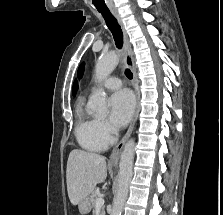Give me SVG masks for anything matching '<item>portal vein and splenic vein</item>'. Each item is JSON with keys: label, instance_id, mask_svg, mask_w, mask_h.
I'll list each match as a JSON object with an SVG mask.
<instances>
[{"label": "portal vein and splenic vein", "instance_id": "18ae733b", "mask_svg": "<svg viewBox=\"0 0 223 215\" xmlns=\"http://www.w3.org/2000/svg\"><path fill=\"white\" fill-rule=\"evenodd\" d=\"M104 203H105V201H104L103 197H97L96 203H95L96 209H98V207H102V205H104Z\"/></svg>", "mask_w": 223, "mask_h": 215}]
</instances>
